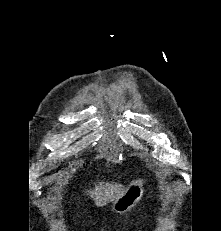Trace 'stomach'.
Segmentation results:
<instances>
[{
  "label": "stomach",
  "mask_w": 221,
  "mask_h": 231,
  "mask_svg": "<svg viewBox=\"0 0 221 231\" xmlns=\"http://www.w3.org/2000/svg\"><path fill=\"white\" fill-rule=\"evenodd\" d=\"M143 183L144 182L141 179L131 182L124 194L112 202V210L119 214H124L130 211L143 196Z\"/></svg>",
  "instance_id": "1"
}]
</instances>
